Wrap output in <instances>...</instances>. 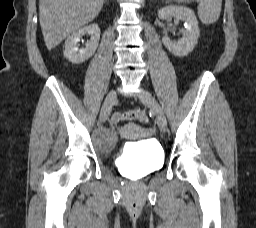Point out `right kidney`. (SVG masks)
<instances>
[{"instance_id":"1","label":"right kidney","mask_w":256,"mask_h":228,"mask_svg":"<svg viewBox=\"0 0 256 228\" xmlns=\"http://www.w3.org/2000/svg\"><path fill=\"white\" fill-rule=\"evenodd\" d=\"M86 34L90 35V40L84 48L79 49L78 42ZM99 40L100 29L97 24H91L76 30L65 41L64 57L72 63H82L95 53Z\"/></svg>"}]
</instances>
